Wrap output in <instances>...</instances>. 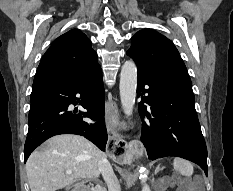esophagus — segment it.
Returning <instances> with one entry per match:
<instances>
[{"label": "esophagus", "mask_w": 233, "mask_h": 191, "mask_svg": "<svg viewBox=\"0 0 233 191\" xmlns=\"http://www.w3.org/2000/svg\"><path fill=\"white\" fill-rule=\"evenodd\" d=\"M116 110V101L107 100L105 104V113L107 119V132L108 142H106L105 151L108 156H115L114 162L118 164H127V160L130 159L131 154L134 151L137 154H142L143 146L138 140L132 142V145H128L123 136L117 131L115 125L112 123L111 118Z\"/></svg>", "instance_id": "obj_1"}]
</instances>
